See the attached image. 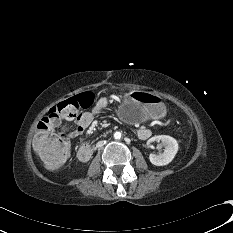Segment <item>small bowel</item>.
<instances>
[{
  "label": "small bowel",
  "mask_w": 233,
  "mask_h": 233,
  "mask_svg": "<svg viewBox=\"0 0 233 233\" xmlns=\"http://www.w3.org/2000/svg\"><path fill=\"white\" fill-rule=\"evenodd\" d=\"M107 106L108 99L101 97L89 111L79 113L75 117H63L56 110H54L43 117L42 120L46 121V124L51 131L60 130L70 137H78L84 133L97 115L106 111ZM63 120H73L75 127L69 128L68 126H62ZM137 135L140 139H147L151 136V130L148 127L142 126L138 129Z\"/></svg>",
  "instance_id": "small-bowel-1"
}]
</instances>
